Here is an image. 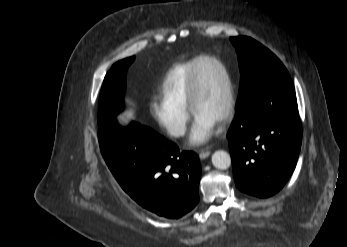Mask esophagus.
I'll use <instances>...</instances> for the list:
<instances>
[{"label":"esophagus","mask_w":347,"mask_h":247,"mask_svg":"<svg viewBox=\"0 0 347 247\" xmlns=\"http://www.w3.org/2000/svg\"><path fill=\"white\" fill-rule=\"evenodd\" d=\"M210 155V151L208 149H201L199 152L200 159H205Z\"/></svg>","instance_id":"1"}]
</instances>
